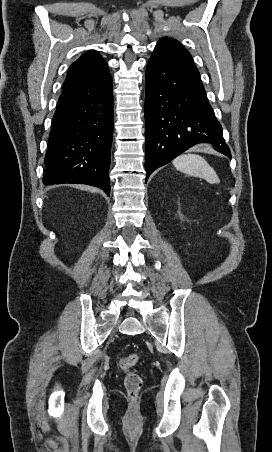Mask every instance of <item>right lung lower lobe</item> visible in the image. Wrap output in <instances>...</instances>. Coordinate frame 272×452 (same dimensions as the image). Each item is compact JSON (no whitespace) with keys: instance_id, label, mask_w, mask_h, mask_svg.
Returning <instances> with one entry per match:
<instances>
[{"instance_id":"right-lung-lower-lobe-1","label":"right lung lower lobe","mask_w":272,"mask_h":452,"mask_svg":"<svg viewBox=\"0 0 272 452\" xmlns=\"http://www.w3.org/2000/svg\"><path fill=\"white\" fill-rule=\"evenodd\" d=\"M113 126L111 76L62 94L52 120L43 184H88L109 195Z\"/></svg>"}]
</instances>
